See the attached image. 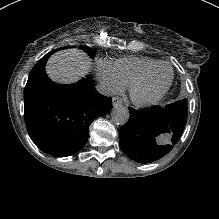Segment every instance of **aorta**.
<instances>
[{
    "instance_id": "aorta-1",
    "label": "aorta",
    "mask_w": 219,
    "mask_h": 219,
    "mask_svg": "<svg viewBox=\"0 0 219 219\" xmlns=\"http://www.w3.org/2000/svg\"><path fill=\"white\" fill-rule=\"evenodd\" d=\"M130 113L127 107L122 104L114 105L111 110V119L118 125H124L128 122Z\"/></svg>"
}]
</instances>
